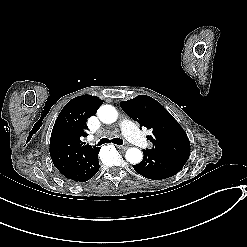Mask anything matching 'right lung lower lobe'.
Here are the masks:
<instances>
[{"label": "right lung lower lobe", "instance_id": "obj_1", "mask_svg": "<svg viewBox=\"0 0 247 247\" xmlns=\"http://www.w3.org/2000/svg\"><path fill=\"white\" fill-rule=\"evenodd\" d=\"M100 148H96L88 154L75 168L63 174L66 178L76 181L85 182L91 179L99 170L98 154Z\"/></svg>", "mask_w": 247, "mask_h": 247}]
</instances>
